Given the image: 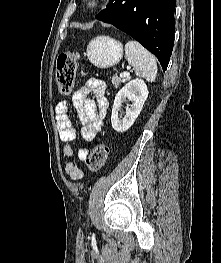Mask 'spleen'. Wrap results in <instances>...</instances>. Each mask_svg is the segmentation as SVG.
<instances>
[{
	"label": "spleen",
	"instance_id": "spleen-1",
	"mask_svg": "<svg viewBox=\"0 0 221 263\" xmlns=\"http://www.w3.org/2000/svg\"><path fill=\"white\" fill-rule=\"evenodd\" d=\"M125 54L137 76L145 78L148 82L155 81L157 63L154 55L134 40L128 41L125 45Z\"/></svg>",
	"mask_w": 221,
	"mask_h": 263
}]
</instances>
